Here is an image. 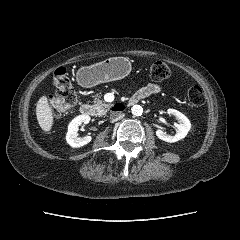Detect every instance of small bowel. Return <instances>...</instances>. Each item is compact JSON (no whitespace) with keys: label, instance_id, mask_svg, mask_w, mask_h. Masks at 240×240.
<instances>
[{"label":"small bowel","instance_id":"c3829d8e","mask_svg":"<svg viewBox=\"0 0 240 240\" xmlns=\"http://www.w3.org/2000/svg\"><path fill=\"white\" fill-rule=\"evenodd\" d=\"M163 90L162 85L157 83H149L146 86L139 89L136 93H138L142 99L147 98L149 96L160 93Z\"/></svg>","mask_w":240,"mask_h":240}]
</instances>
